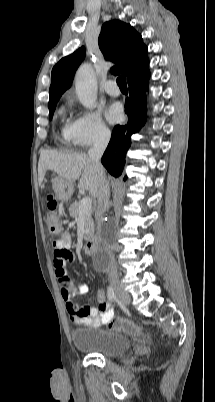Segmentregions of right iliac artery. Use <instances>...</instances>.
Masks as SVG:
<instances>
[{
    "mask_svg": "<svg viewBox=\"0 0 215 402\" xmlns=\"http://www.w3.org/2000/svg\"><path fill=\"white\" fill-rule=\"evenodd\" d=\"M107 296H108V299L110 301H116L117 300L116 296H115V293H114L113 287H111V286L108 287Z\"/></svg>",
    "mask_w": 215,
    "mask_h": 402,
    "instance_id": "1",
    "label": "right iliac artery"
}]
</instances>
